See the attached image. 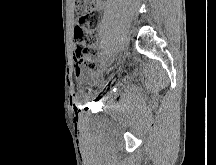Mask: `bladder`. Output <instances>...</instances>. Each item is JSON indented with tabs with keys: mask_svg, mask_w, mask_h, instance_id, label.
Returning a JSON list of instances; mask_svg holds the SVG:
<instances>
[{
	"mask_svg": "<svg viewBox=\"0 0 216 165\" xmlns=\"http://www.w3.org/2000/svg\"><path fill=\"white\" fill-rule=\"evenodd\" d=\"M94 81L92 82L91 91L88 93V97H94L97 92L99 94H116V89H101L103 84V78L97 75H93Z\"/></svg>",
	"mask_w": 216,
	"mask_h": 165,
	"instance_id": "1",
	"label": "bladder"
}]
</instances>
